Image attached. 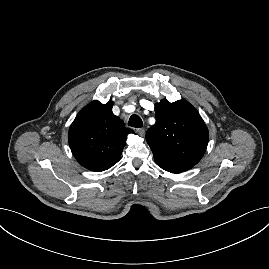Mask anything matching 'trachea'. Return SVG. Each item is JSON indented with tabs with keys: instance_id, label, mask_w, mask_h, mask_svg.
Listing matches in <instances>:
<instances>
[{
	"instance_id": "trachea-1",
	"label": "trachea",
	"mask_w": 269,
	"mask_h": 269,
	"mask_svg": "<svg viewBox=\"0 0 269 269\" xmlns=\"http://www.w3.org/2000/svg\"><path fill=\"white\" fill-rule=\"evenodd\" d=\"M128 125L135 128H141L143 126V122L138 115H131Z\"/></svg>"
}]
</instances>
